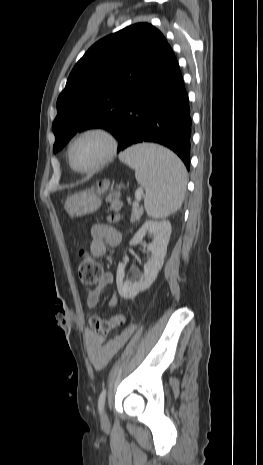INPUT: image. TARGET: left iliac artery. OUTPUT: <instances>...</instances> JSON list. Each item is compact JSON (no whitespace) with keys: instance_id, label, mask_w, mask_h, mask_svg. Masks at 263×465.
<instances>
[{"instance_id":"obj_1","label":"left iliac artery","mask_w":263,"mask_h":465,"mask_svg":"<svg viewBox=\"0 0 263 465\" xmlns=\"http://www.w3.org/2000/svg\"><path fill=\"white\" fill-rule=\"evenodd\" d=\"M105 399H106V389H103L99 396V400H98V410L100 413L103 411Z\"/></svg>"}]
</instances>
